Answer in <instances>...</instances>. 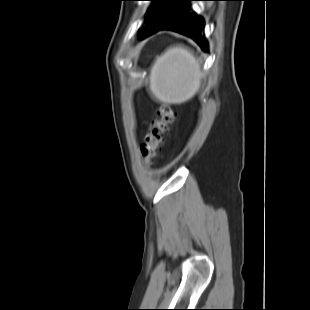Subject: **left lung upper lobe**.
<instances>
[{
    "label": "left lung upper lobe",
    "instance_id": "5c2ea615",
    "mask_svg": "<svg viewBox=\"0 0 310 310\" xmlns=\"http://www.w3.org/2000/svg\"><path fill=\"white\" fill-rule=\"evenodd\" d=\"M155 2L145 17L146 27L139 36H148L169 25L187 6L190 0H150Z\"/></svg>",
    "mask_w": 310,
    "mask_h": 310
}]
</instances>
